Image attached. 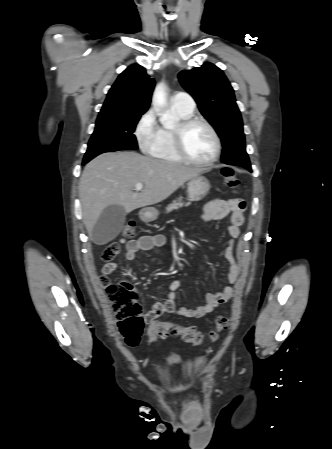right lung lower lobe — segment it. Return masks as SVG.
Segmentation results:
<instances>
[{
	"instance_id": "1",
	"label": "right lung lower lobe",
	"mask_w": 332,
	"mask_h": 449,
	"mask_svg": "<svg viewBox=\"0 0 332 449\" xmlns=\"http://www.w3.org/2000/svg\"><path fill=\"white\" fill-rule=\"evenodd\" d=\"M87 162L83 161V165H85Z\"/></svg>"
}]
</instances>
